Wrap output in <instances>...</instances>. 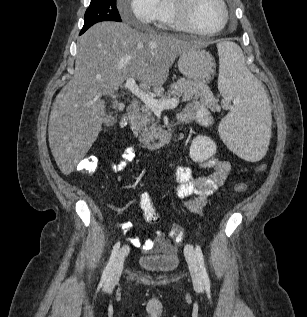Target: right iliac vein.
Wrapping results in <instances>:
<instances>
[{
	"label": "right iliac vein",
	"mask_w": 307,
	"mask_h": 317,
	"mask_svg": "<svg viewBox=\"0 0 307 317\" xmlns=\"http://www.w3.org/2000/svg\"><path fill=\"white\" fill-rule=\"evenodd\" d=\"M128 251H129V248L127 246H124L118 252V255L116 257V260L114 262V265L109 273V276L106 282L108 286H113L118 282L122 274L124 261L128 254Z\"/></svg>",
	"instance_id": "63e3f726"
}]
</instances>
